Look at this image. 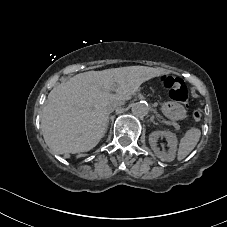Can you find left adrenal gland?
Returning a JSON list of instances; mask_svg holds the SVG:
<instances>
[{
    "instance_id": "1",
    "label": "left adrenal gland",
    "mask_w": 227,
    "mask_h": 227,
    "mask_svg": "<svg viewBox=\"0 0 227 227\" xmlns=\"http://www.w3.org/2000/svg\"><path fill=\"white\" fill-rule=\"evenodd\" d=\"M150 121H151L153 124L158 125V123L154 121V117H153V116L150 118Z\"/></svg>"
}]
</instances>
